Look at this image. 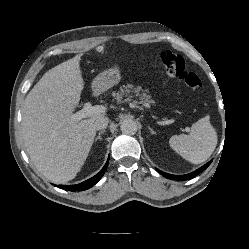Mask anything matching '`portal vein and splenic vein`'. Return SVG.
Wrapping results in <instances>:
<instances>
[{
  "instance_id": "1",
  "label": "portal vein and splenic vein",
  "mask_w": 249,
  "mask_h": 249,
  "mask_svg": "<svg viewBox=\"0 0 249 249\" xmlns=\"http://www.w3.org/2000/svg\"><path fill=\"white\" fill-rule=\"evenodd\" d=\"M105 111H106V107L102 105L92 106L91 103L87 102L84 104L83 108L80 111L72 114L70 116V119L76 122L87 117L105 113Z\"/></svg>"
}]
</instances>
